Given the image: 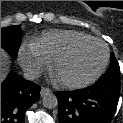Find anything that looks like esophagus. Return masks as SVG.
Here are the masks:
<instances>
[{
    "label": "esophagus",
    "mask_w": 123,
    "mask_h": 123,
    "mask_svg": "<svg viewBox=\"0 0 123 123\" xmlns=\"http://www.w3.org/2000/svg\"><path fill=\"white\" fill-rule=\"evenodd\" d=\"M40 93H41V96H45V95L51 93V90L47 87H42Z\"/></svg>",
    "instance_id": "obj_1"
}]
</instances>
